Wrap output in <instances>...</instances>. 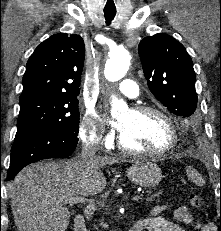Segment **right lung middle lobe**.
Wrapping results in <instances>:
<instances>
[{"label":"right lung middle lobe","instance_id":"obj_1","mask_svg":"<svg viewBox=\"0 0 221 231\" xmlns=\"http://www.w3.org/2000/svg\"><path fill=\"white\" fill-rule=\"evenodd\" d=\"M20 100L15 140L34 129L63 130L77 134V96H32Z\"/></svg>","mask_w":221,"mask_h":231}]
</instances>
